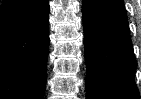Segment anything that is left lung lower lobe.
<instances>
[{
	"mask_svg": "<svg viewBox=\"0 0 141 99\" xmlns=\"http://www.w3.org/2000/svg\"><path fill=\"white\" fill-rule=\"evenodd\" d=\"M87 99H139L123 0H83Z\"/></svg>",
	"mask_w": 141,
	"mask_h": 99,
	"instance_id": "left-lung-lower-lobe-1",
	"label": "left lung lower lobe"
}]
</instances>
